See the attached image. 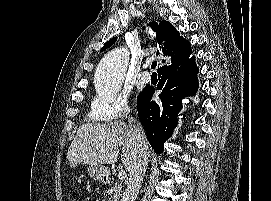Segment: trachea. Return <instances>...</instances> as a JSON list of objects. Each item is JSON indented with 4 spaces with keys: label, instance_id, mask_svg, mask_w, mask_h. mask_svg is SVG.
Listing matches in <instances>:
<instances>
[{
    "label": "trachea",
    "instance_id": "1",
    "mask_svg": "<svg viewBox=\"0 0 271 201\" xmlns=\"http://www.w3.org/2000/svg\"><path fill=\"white\" fill-rule=\"evenodd\" d=\"M156 66H157V61L152 62V65H151L152 69H155Z\"/></svg>",
    "mask_w": 271,
    "mask_h": 201
}]
</instances>
